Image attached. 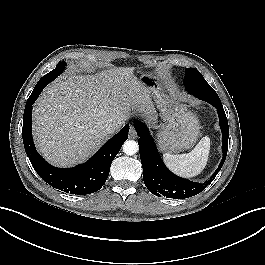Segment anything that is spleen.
Here are the masks:
<instances>
[{
    "instance_id": "3e777b00",
    "label": "spleen",
    "mask_w": 265,
    "mask_h": 265,
    "mask_svg": "<svg viewBox=\"0 0 265 265\" xmlns=\"http://www.w3.org/2000/svg\"><path fill=\"white\" fill-rule=\"evenodd\" d=\"M210 152V138L203 137L195 148L187 154L173 155L165 153L163 160L167 167L182 177L197 176L206 167Z\"/></svg>"
}]
</instances>
